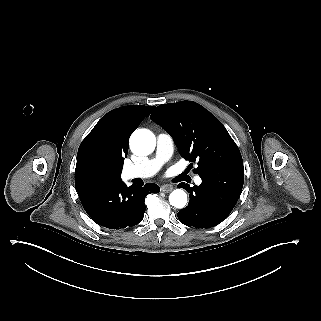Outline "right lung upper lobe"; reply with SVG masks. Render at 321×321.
Segmentation results:
<instances>
[{
  "label": "right lung upper lobe",
  "mask_w": 321,
  "mask_h": 321,
  "mask_svg": "<svg viewBox=\"0 0 321 321\" xmlns=\"http://www.w3.org/2000/svg\"><path fill=\"white\" fill-rule=\"evenodd\" d=\"M154 106L129 105L103 116L79 146L75 169L76 190L89 185L121 181L131 133Z\"/></svg>",
  "instance_id": "1"
}]
</instances>
